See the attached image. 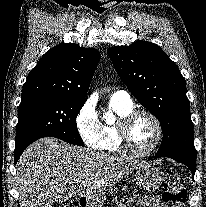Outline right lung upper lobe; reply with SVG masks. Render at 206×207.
Here are the masks:
<instances>
[{
	"label": "right lung upper lobe",
	"mask_w": 206,
	"mask_h": 207,
	"mask_svg": "<svg viewBox=\"0 0 206 207\" xmlns=\"http://www.w3.org/2000/svg\"><path fill=\"white\" fill-rule=\"evenodd\" d=\"M100 59L94 48L74 43L56 45L39 60L22 89V100L53 96L83 101Z\"/></svg>",
	"instance_id": "right-lung-upper-lobe-1"
}]
</instances>
